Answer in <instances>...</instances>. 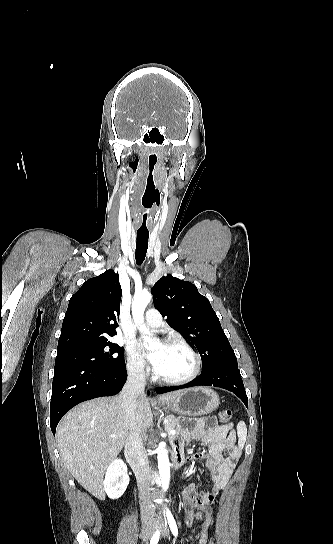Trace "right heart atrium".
Returning <instances> with one entry per match:
<instances>
[{
  "label": "right heart atrium",
  "mask_w": 333,
  "mask_h": 544,
  "mask_svg": "<svg viewBox=\"0 0 333 544\" xmlns=\"http://www.w3.org/2000/svg\"><path fill=\"white\" fill-rule=\"evenodd\" d=\"M126 367L130 376L138 380H144L148 376V370L142 359L128 348L126 356Z\"/></svg>",
  "instance_id": "d8ad5b80"
}]
</instances>
